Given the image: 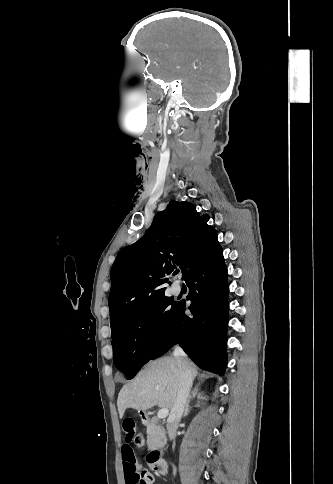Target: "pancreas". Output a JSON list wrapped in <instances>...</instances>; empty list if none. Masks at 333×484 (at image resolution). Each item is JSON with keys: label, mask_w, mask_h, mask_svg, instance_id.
<instances>
[{"label": "pancreas", "mask_w": 333, "mask_h": 484, "mask_svg": "<svg viewBox=\"0 0 333 484\" xmlns=\"http://www.w3.org/2000/svg\"><path fill=\"white\" fill-rule=\"evenodd\" d=\"M166 443V436L164 428L158 424L156 417L151 419L147 426V445L149 450H153L164 446Z\"/></svg>", "instance_id": "cf45deb5"}]
</instances>
